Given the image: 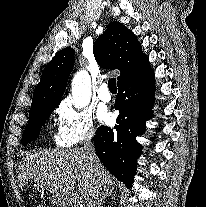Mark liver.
Here are the masks:
<instances>
[{"instance_id": "liver-1", "label": "liver", "mask_w": 206, "mask_h": 207, "mask_svg": "<svg viewBox=\"0 0 206 207\" xmlns=\"http://www.w3.org/2000/svg\"><path fill=\"white\" fill-rule=\"evenodd\" d=\"M99 163V175L90 166L83 149L39 150L26 154L19 164L18 182L22 187L29 179L52 194L54 203L67 207L73 200V190L78 182L79 193L89 201L94 195V180L101 186L112 187L114 179Z\"/></svg>"}]
</instances>
